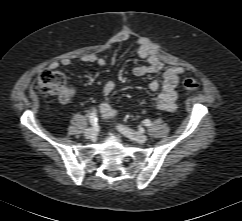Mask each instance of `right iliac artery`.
<instances>
[{
	"mask_svg": "<svg viewBox=\"0 0 242 221\" xmlns=\"http://www.w3.org/2000/svg\"><path fill=\"white\" fill-rule=\"evenodd\" d=\"M89 122L92 126H95L97 124L98 118L95 110L90 113Z\"/></svg>",
	"mask_w": 242,
	"mask_h": 221,
	"instance_id": "obj_1",
	"label": "right iliac artery"
}]
</instances>
